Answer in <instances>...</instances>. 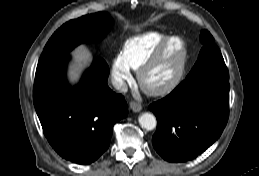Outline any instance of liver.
Returning <instances> with one entry per match:
<instances>
[{
  "instance_id": "liver-1",
  "label": "liver",
  "mask_w": 259,
  "mask_h": 176,
  "mask_svg": "<svg viewBox=\"0 0 259 176\" xmlns=\"http://www.w3.org/2000/svg\"><path fill=\"white\" fill-rule=\"evenodd\" d=\"M72 55L74 57V65L76 68H73L69 71V80L72 84H74L78 81L80 76L79 68L90 63L92 54L88 48H86L84 45H81L72 52Z\"/></svg>"
}]
</instances>
